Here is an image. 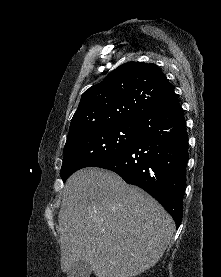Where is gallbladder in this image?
I'll list each match as a JSON object with an SVG mask.
<instances>
[{
    "instance_id": "bac80fb5",
    "label": "gallbladder",
    "mask_w": 221,
    "mask_h": 277,
    "mask_svg": "<svg viewBox=\"0 0 221 277\" xmlns=\"http://www.w3.org/2000/svg\"><path fill=\"white\" fill-rule=\"evenodd\" d=\"M92 267L88 262L77 261L67 271V277H90Z\"/></svg>"
}]
</instances>
